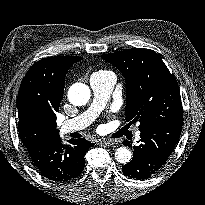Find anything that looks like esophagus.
<instances>
[{
    "label": "esophagus",
    "mask_w": 205,
    "mask_h": 205,
    "mask_svg": "<svg viewBox=\"0 0 205 205\" xmlns=\"http://www.w3.org/2000/svg\"><path fill=\"white\" fill-rule=\"evenodd\" d=\"M99 143L104 144L106 146H110V145L115 144V141L109 140V139H103V140H100Z\"/></svg>",
    "instance_id": "esophagus-1"
}]
</instances>
